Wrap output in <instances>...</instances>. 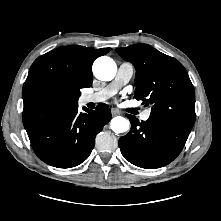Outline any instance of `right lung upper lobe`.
<instances>
[{
    "mask_svg": "<svg viewBox=\"0 0 221 221\" xmlns=\"http://www.w3.org/2000/svg\"><path fill=\"white\" fill-rule=\"evenodd\" d=\"M110 50L74 45L38 57L23 85V124L76 104L80 89L92 85L94 60Z\"/></svg>",
    "mask_w": 221,
    "mask_h": 221,
    "instance_id": "right-lung-upper-lobe-1",
    "label": "right lung upper lobe"
}]
</instances>
